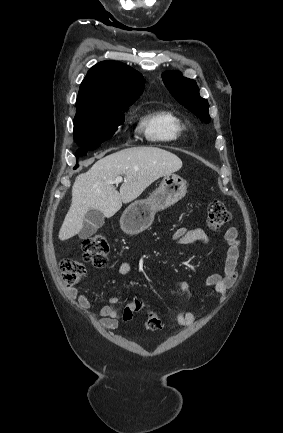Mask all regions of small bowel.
Returning a JSON list of instances; mask_svg holds the SVG:
<instances>
[{
    "mask_svg": "<svg viewBox=\"0 0 283 433\" xmlns=\"http://www.w3.org/2000/svg\"><path fill=\"white\" fill-rule=\"evenodd\" d=\"M171 239L173 242L181 245H190L195 243L206 244L209 241L208 235L202 229H188L180 227L173 232ZM224 240L227 244L226 258L222 273L213 274L205 279V285L214 289L222 303L227 295L229 289L236 282L238 277V260L240 254V242L238 240V231L234 227L228 228L224 233ZM119 273L123 276H128L131 273V266L127 262H122L119 266ZM182 290L188 295L193 294V288L188 282L182 284ZM72 297L83 309H89L91 304L88 297L78 292L73 287L71 289ZM121 300L120 295H114L109 299V303L102 306L99 310L100 324L106 329H114L118 325L117 310L114 305ZM195 321V315L190 310L179 312L171 328L175 327H189Z\"/></svg>",
    "mask_w": 283,
    "mask_h": 433,
    "instance_id": "c3829d8e",
    "label": "small bowel"
}]
</instances>
